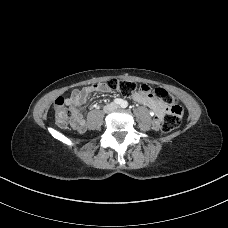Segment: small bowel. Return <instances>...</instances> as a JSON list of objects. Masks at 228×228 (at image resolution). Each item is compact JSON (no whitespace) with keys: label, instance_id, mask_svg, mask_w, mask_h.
<instances>
[{"label":"small bowel","instance_id":"obj_1","mask_svg":"<svg viewBox=\"0 0 228 228\" xmlns=\"http://www.w3.org/2000/svg\"><path fill=\"white\" fill-rule=\"evenodd\" d=\"M107 90V88L102 87L100 84L90 85L82 89H74L70 96L65 99V103L73 109L75 114H78L89 94L94 92H106ZM132 97L136 102L144 104L152 109L155 115L154 125L158 128L165 114V108L162 103L154 97L152 93H134ZM84 124L85 122L82 117L77 116L73 126L76 130L81 132L84 130Z\"/></svg>","mask_w":228,"mask_h":228}]
</instances>
